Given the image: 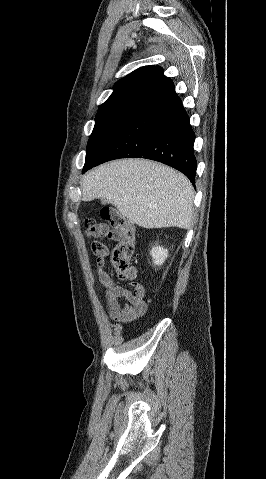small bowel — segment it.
<instances>
[{"mask_svg":"<svg viewBox=\"0 0 266 479\" xmlns=\"http://www.w3.org/2000/svg\"><path fill=\"white\" fill-rule=\"evenodd\" d=\"M112 239H118V234L108 231L103 235ZM98 280L105 289V305L111 320L116 323L126 324L134 321L147 310V303L144 299V286L135 283L133 291L125 289L114 283L104 268V257H96ZM133 272L131 279H135Z\"/></svg>","mask_w":266,"mask_h":479,"instance_id":"1","label":"small bowel"}]
</instances>
